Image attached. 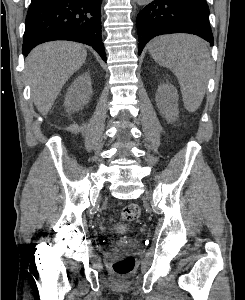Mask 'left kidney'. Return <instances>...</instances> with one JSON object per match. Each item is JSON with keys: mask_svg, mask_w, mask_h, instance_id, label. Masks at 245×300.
<instances>
[{"mask_svg": "<svg viewBox=\"0 0 245 300\" xmlns=\"http://www.w3.org/2000/svg\"><path fill=\"white\" fill-rule=\"evenodd\" d=\"M177 91L171 84H164L158 87L156 102L158 108L166 118H171L177 114Z\"/></svg>", "mask_w": 245, "mask_h": 300, "instance_id": "5707ae66", "label": "left kidney"}]
</instances>
